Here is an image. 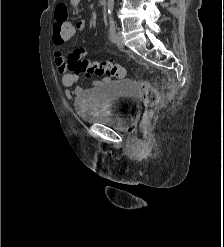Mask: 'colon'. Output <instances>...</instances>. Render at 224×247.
I'll return each mask as SVG.
<instances>
[{
	"label": "colon",
	"mask_w": 224,
	"mask_h": 247,
	"mask_svg": "<svg viewBox=\"0 0 224 247\" xmlns=\"http://www.w3.org/2000/svg\"><path fill=\"white\" fill-rule=\"evenodd\" d=\"M74 24L69 18L67 6L60 3L55 9L53 24V36L63 40H70L74 37ZM83 49L74 50L68 57V68L75 74H85L86 76H114L123 78L125 70L118 64L109 61L91 62L84 57ZM141 97L148 109L145 114L147 120L151 115V108L158 102L157 90L148 82L141 83Z\"/></svg>",
	"instance_id": "5ec220e1"
}]
</instances>
